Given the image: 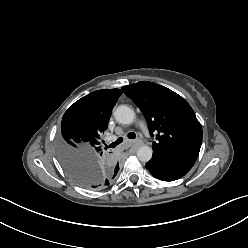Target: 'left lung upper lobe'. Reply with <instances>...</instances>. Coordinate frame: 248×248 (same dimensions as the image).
Wrapping results in <instances>:
<instances>
[{"mask_svg": "<svg viewBox=\"0 0 248 248\" xmlns=\"http://www.w3.org/2000/svg\"><path fill=\"white\" fill-rule=\"evenodd\" d=\"M122 90L143 112L151 136L157 133V142L152 144L154 154H199L202 128L180 95L148 81L124 86Z\"/></svg>", "mask_w": 248, "mask_h": 248, "instance_id": "1", "label": "left lung upper lobe"}]
</instances>
